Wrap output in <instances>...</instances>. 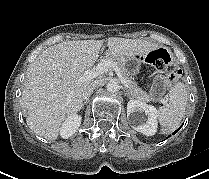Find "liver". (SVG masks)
<instances>
[{"label":"liver","mask_w":209,"mask_h":179,"mask_svg":"<svg viewBox=\"0 0 209 179\" xmlns=\"http://www.w3.org/2000/svg\"><path fill=\"white\" fill-rule=\"evenodd\" d=\"M104 40L66 41L42 51L27 69L21 106L27 124L37 135L56 140L62 124L83 106L82 95L93 79L79 78L92 68ZM107 55L119 58L147 55L156 45L139 39L110 37Z\"/></svg>","instance_id":"obj_1"}]
</instances>
